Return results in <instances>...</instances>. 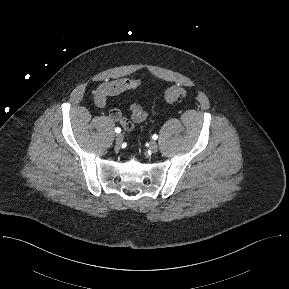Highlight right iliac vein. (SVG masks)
<instances>
[{
  "label": "right iliac vein",
  "instance_id": "obj_1",
  "mask_svg": "<svg viewBox=\"0 0 289 289\" xmlns=\"http://www.w3.org/2000/svg\"><path fill=\"white\" fill-rule=\"evenodd\" d=\"M123 140H124V137L121 133L116 135L115 141H116L117 146H120L122 144Z\"/></svg>",
  "mask_w": 289,
  "mask_h": 289
}]
</instances>
